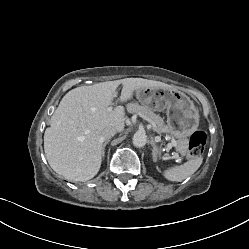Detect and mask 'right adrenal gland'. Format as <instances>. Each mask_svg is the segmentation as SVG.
Here are the masks:
<instances>
[{
  "instance_id": "2a0ac1e0",
  "label": "right adrenal gland",
  "mask_w": 249,
  "mask_h": 249,
  "mask_svg": "<svg viewBox=\"0 0 249 249\" xmlns=\"http://www.w3.org/2000/svg\"><path fill=\"white\" fill-rule=\"evenodd\" d=\"M109 143V140L105 141L104 144H103V147H102V157L105 156V147L106 145Z\"/></svg>"
}]
</instances>
